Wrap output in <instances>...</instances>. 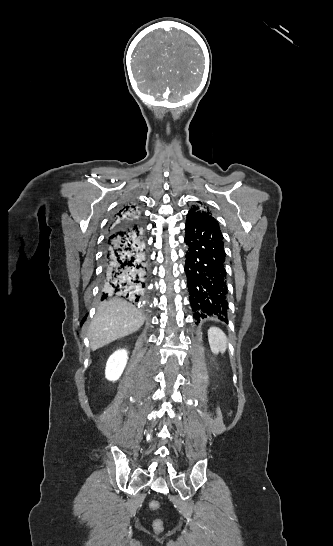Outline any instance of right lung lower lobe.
<instances>
[{
	"label": "right lung lower lobe",
	"mask_w": 333,
	"mask_h": 546,
	"mask_svg": "<svg viewBox=\"0 0 333 546\" xmlns=\"http://www.w3.org/2000/svg\"><path fill=\"white\" fill-rule=\"evenodd\" d=\"M149 260L142 228L110 230L105 240L102 300L118 293L138 301L144 293Z\"/></svg>",
	"instance_id": "98d812e1"
}]
</instances>
